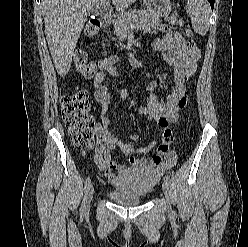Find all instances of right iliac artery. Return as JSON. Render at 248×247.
Listing matches in <instances>:
<instances>
[{"label": "right iliac artery", "instance_id": "obj_1", "mask_svg": "<svg viewBox=\"0 0 248 247\" xmlns=\"http://www.w3.org/2000/svg\"><path fill=\"white\" fill-rule=\"evenodd\" d=\"M91 184V179L90 177H88L86 180H85V186H84V190H85V195H84V198H83V201H82V205H81V215H83L85 213V209H86V205H85V201H86V192L89 188Z\"/></svg>", "mask_w": 248, "mask_h": 247}]
</instances>
